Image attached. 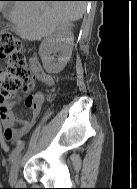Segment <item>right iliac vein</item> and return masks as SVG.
I'll return each mask as SVG.
<instances>
[{"mask_svg":"<svg viewBox=\"0 0 137 189\" xmlns=\"http://www.w3.org/2000/svg\"><path fill=\"white\" fill-rule=\"evenodd\" d=\"M19 165H20V156H17L15 158V161H14L11 169H10V173H9V182L10 183H15Z\"/></svg>","mask_w":137,"mask_h":189,"instance_id":"1","label":"right iliac vein"}]
</instances>
